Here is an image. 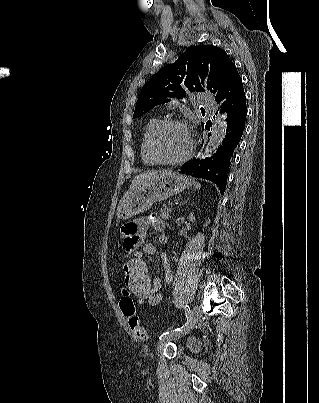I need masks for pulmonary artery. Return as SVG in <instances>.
<instances>
[{
    "label": "pulmonary artery",
    "instance_id": "obj_1",
    "mask_svg": "<svg viewBox=\"0 0 319 403\" xmlns=\"http://www.w3.org/2000/svg\"><path fill=\"white\" fill-rule=\"evenodd\" d=\"M202 104L205 107H212L214 106V102L212 101L211 97L207 94H201Z\"/></svg>",
    "mask_w": 319,
    "mask_h": 403
}]
</instances>
